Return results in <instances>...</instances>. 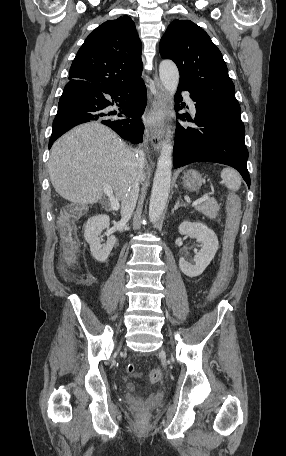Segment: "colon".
<instances>
[{"instance_id":"5ec220e1","label":"colon","mask_w":286,"mask_h":456,"mask_svg":"<svg viewBox=\"0 0 286 456\" xmlns=\"http://www.w3.org/2000/svg\"><path fill=\"white\" fill-rule=\"evenodd\" d=\"M227 204L229 219L226 227L224 252L218 276L207 294L208 301H213L220 294L232 275V253L240 209L239 198L235 194H229L227 198ZM64 241V259L66 263H71L73 262L75 251L77 249V242L72 227H69L65 233ZM127 372L128 374L133 375L135 373V366L133 364H128ZM148 378L151 383L159 382L162 379L161 369H152L149 373Z\"/></svg>"}]
</instances>
